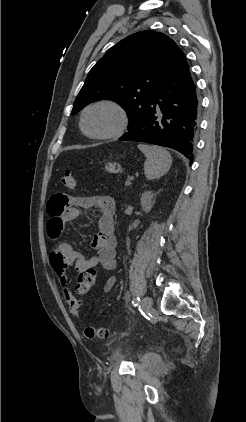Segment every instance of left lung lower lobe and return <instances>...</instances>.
Returning <instances> with one entry per match:
<instances>
[{
	"instance_id": "1",
	"label": "left lung lower lobe",
	"mask_w": 246,
	"mask_h": 422,
	"mask_svg": "<svg viewBox=\"0 0 246 422\" xmlns=\"http://www.w3.org/2000/svg\"><path fill=\"white\" fill-rule=\"evenodd\" d=\"M200 97L182 54L177 66L154 92L142 121L119 138L169 147L190 160L199 129Z\"/></svg>"
}]
</instances>
